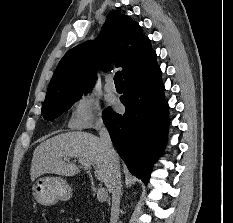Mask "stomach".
<instances>
[{
	"mask_svg": "<svg viewBox=\"0 0 233 223\" xmlns=\"http://www.w3.org/2000/svg\"><path fill=\"white\" fill-rule=\"evenodd\" d=\"M32 195L41 205H55L58 201H68L73 195V189L63 177H39L32 183Z\"/></svg>",
	"mask_w": 233,
	"mask_h": 223,
	"instance_id": "obj_1",
	"label": "stomach"
}]
</instances>
